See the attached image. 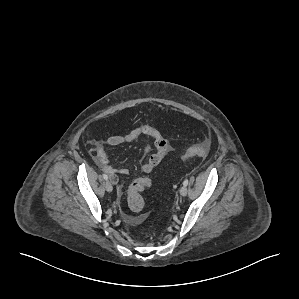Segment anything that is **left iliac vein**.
Segmentation results:
<instances>
[{
    "label": "left iliac vein",
    "mask_w": 299,
    "mask_h": 299,
    "mask_svg": "<svg viewBox=\"0 0 299 299\" xmlns=\"http://www.w3.org/2000/svg\"><path fill=\"white\" fill-rule=\"evenodd\" d=\"M180 195L181 196H186L187 195V187L186 186H182L181 188H180Z\"/></svg>",
    "instance_id": "4c4485c4"
}]
</instances>
